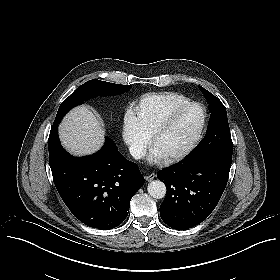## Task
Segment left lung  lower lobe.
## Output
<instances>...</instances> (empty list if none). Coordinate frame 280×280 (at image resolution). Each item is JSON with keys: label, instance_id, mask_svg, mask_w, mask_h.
<instances>
[{"label": "left lung lower lobe", "instance_id": "1", "mask_svg": "<svg viewBox=\"0 0 280 280\" xmlns=\"http://www.w3.org/2000/svg\"><path fill=\"white\" fill-rule=\"evenodd\" d=\"M232 160L211 158L164 168L157 178L167 194L160 206L162 220L171 228L184 230L204 221L218 204Z\"/></svg>", "mask_w": 280, "mask_h": 280}]
</instances>
